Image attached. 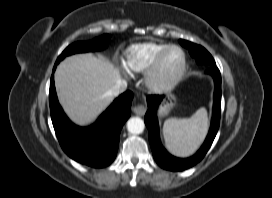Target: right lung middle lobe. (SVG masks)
<instances>
[{
	"instance_id": "right-lung-middle-lobe-1",
	"label": "right lung middle lobe",
	"mask_w": 272,
	"mask_h": 198,
	"mask_svg": "<svg viewBox=\"0 0 272 198\" xmlns=\"http://www.w3.org/2000/svg\"><path fill=\"white\" fill-rule=\"evenodd\" d=\"M110 36L105 34L100 38H96L93 41L89 42H75L72 45L68 46L58 57L55 64H58L61 60H63L66 56H69L74 53L100 50L107 46L109 42Z\"/></svg>"
}]
</instances>
